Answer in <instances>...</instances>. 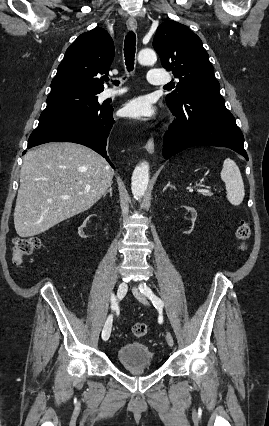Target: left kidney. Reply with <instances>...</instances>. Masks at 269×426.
Wrapping results in <instances>:
<instances>
[{
    "label": "left kidney",
    "mask_w": 269,
    "mask_h": 426,
    "mask_svg": "<svg viewBox=\"0 0 269 426\" xmlns=\"http://www.w3.org/2000/svg\"><path fill=\"white\" fill-rule=\"evenodd\" d=\"M184 208L190 213V215H191L190 220H191V223H192V226L190 227V229L189 230H185L184 233L185 234H190L192 232L193 228H194V222H195V220L197 218V212H196V210L194 208L189 207V206H184Z\"/></svg>",
    "instance_id": "obj_1"
}]
</instances>
